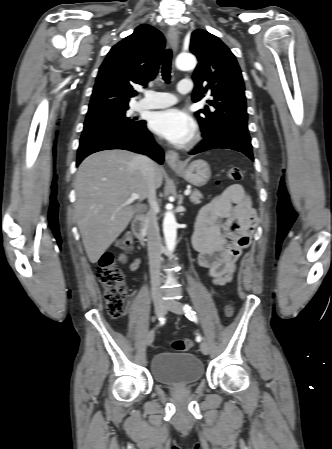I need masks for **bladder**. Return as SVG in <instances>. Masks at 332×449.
<instances>
[{
	"label": "bladder",
	"instance_id": "1",
	"mask_svg": "<svg viewBox=\"0 0 332 449\" xmlns=\"http://www.w3.org/2000/svg\"><path fill=\"white\" fill-rule=\"evenodd\" d=\"M151 374L165 386H188L202 379L204 366L192 353L161 352L151 361Z\"/></svg>",
	"mask_w": 332,
	"mask_h": 449
}]
</instances>
